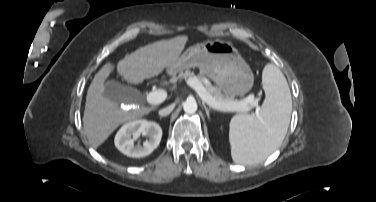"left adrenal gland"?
I'll return each mask as SVG.
<instances>
[{"label":"left adrenal gland","instance_id":"1","mask_svg":"<svg viewBox=\"0 0 376 202\" xmlns=\"http://www.w3.org/2000/svg\"><path fill=\"white\" fill-rule=\"evenodd\" d=\"M202 105H203V107H204V109H205V112H206V115H207L208 119H210L209 112H210V109H211V108H208L204 103H202Z\"/></svg>","mask_w":376,"mask_h":202}]
</instances>
